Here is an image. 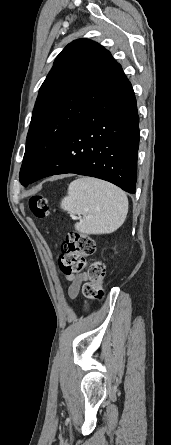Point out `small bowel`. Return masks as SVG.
<instances>
[{"instance_id": "small-bowel-1", "label": "small bowel", "mask_w": 171, "mask_h": 445, "mask_svg": "<svg viewBox=\"0 0 171 445\" xmlns=\"http://www.w3.org/2000/svg\"><path fill=\"white\" fill-rule=\"evenodd\" d=\"M62 274L68 282L67 289L69 297L75 299L80 292L82 283L87 280V274L85 272H74L70 274L62 272Z\"/></svg>"}]
</instances>
